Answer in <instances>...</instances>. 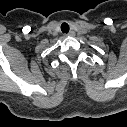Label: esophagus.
Here are the masks:
<instances>
[{
  "mask_svg": "<svg viewBox=\"0 0 127 127\" xmlns=\"http://www.w3.org/2000/svg\"><path fill=\"white\" fill-rule=\"evenodd\" d=\"M65 36L73 37V36H75V32L70 31L68 34H65Z\"/></svg>",
  "mask_w": 127,
  "mask_h": 127,
  "instance_id": "esophagus-1",
  "label": "esophagus"
}]
</instances>
